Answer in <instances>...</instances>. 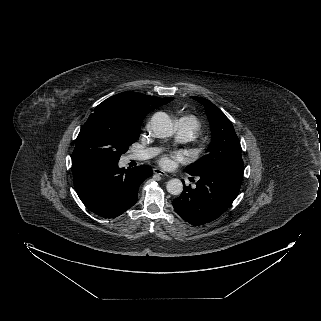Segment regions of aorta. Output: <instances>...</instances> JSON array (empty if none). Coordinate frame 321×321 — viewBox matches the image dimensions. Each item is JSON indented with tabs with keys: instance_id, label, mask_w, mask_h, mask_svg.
Segmentation results:
<instances>
[{
	"instance_id": "762f6f07",
	"label": "aorta",
	"mask_w": 321,
	"mask_h": 321,
	"mask_svg": "<svg viewBox=\"0 0 321 321\" xmlns=\"http://www.w3.org/2000/svg\"><path fill=\"white\" fill-rule=\"evenodd\" d=\"M151 129L160 138H167L174 133L173 123L165 112H156L151 118ZM171 195H180L183 191V184L179 179H171L166 185Z\"/></svg>"
}]
</instances>
